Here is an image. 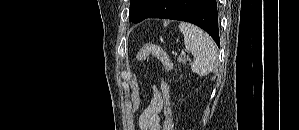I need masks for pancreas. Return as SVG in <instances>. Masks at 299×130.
Here are the masks:
<instances>
[{
  "label": "pancreas",
  "mask_w": 299,
  "mask_h": 130,
  "mask_svg": "<svg viewBox=\"0 0 299 130\" xmlns=\"http://www.w3.org/2000/svg\"><path fill=\"white\" fill-rule=\"evenodd\" d=\"M188 60H189V58H185V57H182V56L177 59V61L179 63H186Z\"/></svg>",
  "instance_id": "obj_1"
}]
</instances>
